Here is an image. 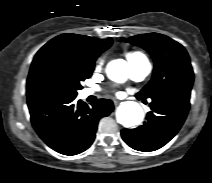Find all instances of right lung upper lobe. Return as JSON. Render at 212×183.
<instances>
[{
	"label": "right lung upper lobe",
	"instance_id": "obj_1",
	"mask_svg": "<svg viewBox=\"0 0 212 183\" xmlns=\"http://www.w3.org/2000/svg\"><path fill=\"white\" fill-rule=\"evenodd\" d=\"M112 44V39H97L77 34H62L45 44L35 55L55 49L62 51L84 65H94L96 58ZM33 60V61H34Z\"/></svg>",
	"mask_w": 212,
	"mask_h": 183
}]
</instances>
